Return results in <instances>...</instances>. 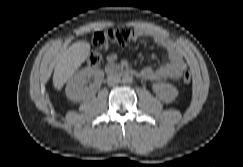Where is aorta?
I'll return each instance as SVG.
<instances>
[{"label":"aorta","mask_w":243,"mask_h":167,"mask_svg":"<svg viewBox=\"0 0 243 167\" xmlns=\"http://www.w3.org/2000/svg\"><path fill=\"white\" fill-rule=\"evenodd\" d=\"M122 82L125 84H131L133 82V77L130 74H124L122 77Z\"/></svg>","instance_id":"obj_1"}]
</instances>
